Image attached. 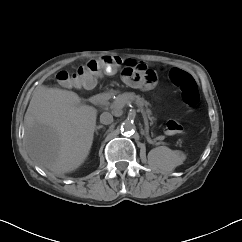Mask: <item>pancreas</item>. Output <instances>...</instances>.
Returning <instances> with one entry per match:
<instances>
[{
    "instance_id": "obj_1",
    "label": "pancreas",
    "mask_w": 242,
    "mask_h": 242,
    "mask_svg": "<svg viewBox=\"0 0 242 242\" xmlns=\"http://www.w3.org/2000/svg\"><path fill=\"white\" fill-rule=\"evenodd\" d=\"M134 102L139 107H146V115L151 121V125L154 123L155 118L152 116V111L148 108L150 105L144 98H141L134 93H122L116 96L114 101L111 103V108L114 110H121L126 104ZM160 139V138H158Z\"/></svg>"
}]
</instances>
